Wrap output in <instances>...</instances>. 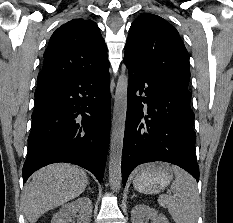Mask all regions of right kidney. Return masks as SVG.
<instances>
[{"label": "right kidney", "mask_w": 233, "mask_h": 223, "mask_svg": "<svg viewBox=\"0 0 233 223\" xmlns=\"http://www.w3.org/2000/svg\"><path fill=\"white\" fill-rule=\"evenodd\" d=\"M93 205L89 197H78L71 203L62 205L60 211L54 213L51 223H67L71 215L77 217V223H90Z\"/></svg>", "instance_id": "obj_1"}]
</instances>
